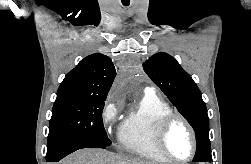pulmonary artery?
<instances>
[{
    "label": "pulmonary artery",
    "instance_id": "e3ab8cb5",
    "mask_svg": "<svg viewBox=\"0 0 251 164\" xmlns=\"http://www.w3.org/2000/svg\"><path fill=\"white\" fill-rule=\"evenodd\" d=\"M145 91H146L147 93H154V89H153V88H150V87H147Z\"/></svg>",
    "mask_w": 251,
    "mask_h": 164
}]
</instances>
